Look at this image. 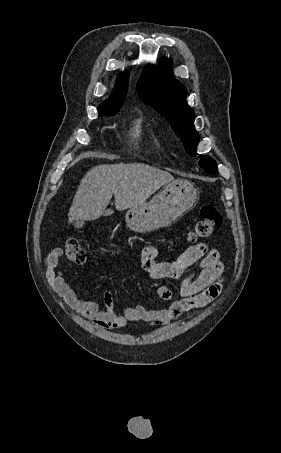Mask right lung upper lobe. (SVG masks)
Masks as SVG:
<instances>
[{"instance_id":"cb5924a9","label":"right lung upper lobe","mask_w":281,"mask_h":453,"mask_svg":"<svg viewBox=\"0 0 281 453\" xmlns=\"http://www.w3.org/2000/svg\"><path fill=\"white\" fill-rule=\"evenodd\" d=\"M128 79L129 74L128 72H124L120 74L116 88L110 97L109 100L102 103L98 109L99 116L107 115L108 113L119 111L121 108L128 89Z\"/></svg>"}]
</instances>
